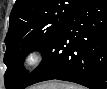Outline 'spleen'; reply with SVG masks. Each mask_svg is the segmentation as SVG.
Segmentation results:
<instances>
[{
	"instance_id": "obj_1",
	"label": "spleen",
	"mask_w": 107,
	"mask_h": 89,
	"mask_svg": "<svg viewBox=\"0 0 107 89\" xmlns=\"http://www.w3.org/2000/svg\"><path fill=\"white\" fill-rule=\"evenodd\" d=\"M61 89H82V87L78 85L63 84Z\"/></svg>"
}]
</instances>
